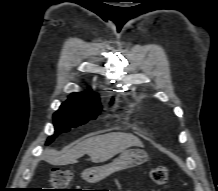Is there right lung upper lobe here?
Listing matches in <instances>:
<instances>
[{
	"label": "right lung upper lobe",
	"instance_id": "1",
	"mask_svg": "<svg viewBox=\"0 0 218 191\" xmlns=\"http://www.w3.org/2000/svg\"><path fill=\"white\" fill-rule=\"evenodd\" d=\"M70 97L99 100V97L97 96V94L92 91H88L84 93H73Z\"/></svg>",
	"mask_w": 218,
	"mask_h": 191
}]
</instances>
